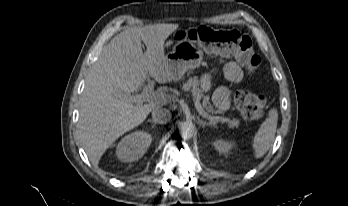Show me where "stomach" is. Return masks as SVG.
I'll return each instance as SVG.
<instances>
[{
  "instance_id": "obj_1",
  "label": "stomach",
  "mask_w": 348,
  "mask_h": 206,
  "mask_svg": "<svg viewBox=\"0 0 348 206\" xmlns=\"http://www.w3.org/2000/svg\"><path fill=\"white\" fill-rule=\"evenodd\" d=\"M203 58V51L184 34L176 38L173 50L166 54L165 66L172 74L173 80L178 81L187 71L198 68Z\"/></svg>"
}]
</instances>
